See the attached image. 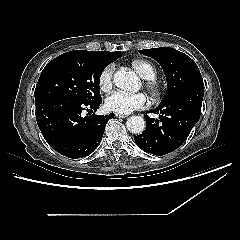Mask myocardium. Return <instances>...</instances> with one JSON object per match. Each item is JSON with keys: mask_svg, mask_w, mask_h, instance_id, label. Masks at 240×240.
<instances>
[{"mask_svg": "<svg viewBox=\"0 0 240 240\" xmlns=\"http://www.w3.org/2000/svg\"><path fill=\"white\" fill-rule=\"evenodd\" d=\"M144 84H145L147 91L153 98H157L158 96L161 95L162 86H161L160 82L158 80H156L155 78L145 79Z\"/></svg>", "mask_w": 240, "mask_h": 240, "instance_id": "1", "label": "myocardium"}]
</instances>
